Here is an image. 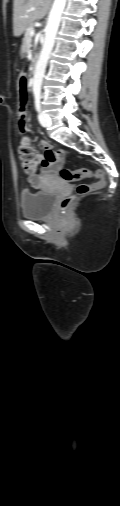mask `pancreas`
<instances>
[{"label":"pancreas","mask_w":120,"mask_h":506,"mask_svg":"<svg viewBox=\"0 0 120 506\" xmlns=\"http://www.w3.org/2000/svg\"><path fill=\"white\" fill-rule=\"evenodd\" d=\"M33 29V26L30 25L27 30H26V33H25V36H24V39H23V47L25 49H28V47L31 45V36H30V31Z\"/></svg>","instance_id":"pancreas-1"}]
</instances>
